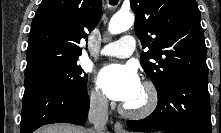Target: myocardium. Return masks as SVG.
<instances>
[{"label": "myocardium", "mask_w": 221, "mask_h": 133, "mask_svg": "<svg viewBox=\"0 0 221 133\" xmlns=\"http://www.w3.org/2000/svg\"><path fill=\"white\" fill-rule=\"evenodd\" d=\"M142 89L145 93L144 102L136 107H131L125 104L122 107L123 115L130 118L141 119L149 116L154 112L157 107L159 98L155 85L150 81H145L142 85Z\"/></svg>", "instance_id": "myocardium-1"}]
</instances>
